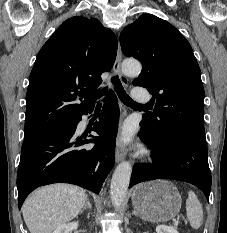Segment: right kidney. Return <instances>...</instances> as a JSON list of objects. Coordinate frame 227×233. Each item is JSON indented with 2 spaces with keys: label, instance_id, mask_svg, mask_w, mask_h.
<instances>
[{
  "label": "right kidney",
  "instance_id": "obj_1",
  "mask_svg": "<svg viewBox=\"0 0 227 233\" xmlns=\"http://www.w3.org/2000/svg\"><path fill=\"white\" fill-rule=\"evenodd\" d=\"M78 226L79 224L77 222H70L59 226L53 231V233H72V231L76 230Z\"/></svg>",
  "mask_w": 227,
  "mask_h": 233
}]
</instances>
